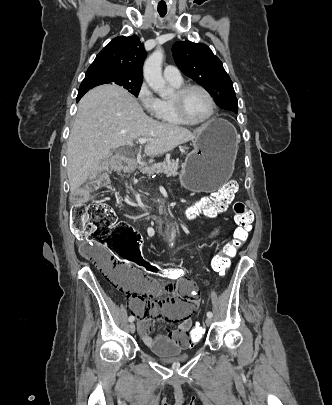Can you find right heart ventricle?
Here are the masks:
<instances>
[{
  "label": "right heart ventricle",
  "mask_w": 332,
  "mask_h": 405,
  "mask_svg": "<svg viewBox=\"0 0 332 405\" xmlns=\"http://www.w3.org/2000/svg\"><path fill=\"white\" fill-rule=\"evenodd\" d=\"M170 85L177 89L181 87V83H173L169 82ZM156 118L162 122L167 124H181L182 122L177 118L171 100L169 99H161L159 100V111Z\"/></svg>",
  "instance_id": "obj_1"
}]
</instances>
